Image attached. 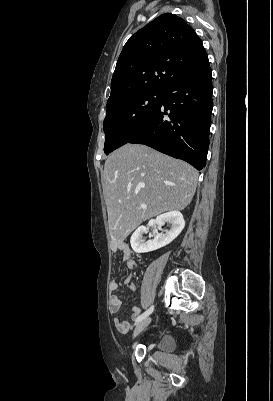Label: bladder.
Here are the masks:
<instances>
[{
  "mask_svg": "<svg viewBox=\"0 0 273 401\" xmlns=\"http://www.w3.org/2000/svg\"><path fill=\"white\" fill-rule=\"evenodd\" d=\"M174 348V340L170 336H164L159 343L161 352H170Z\"/></svg>",
  "mask_w": 273,
  "mask_h": 401,
  "instance_id": "31cf9c89",
  "label": "bladder"
}]
</instances>
